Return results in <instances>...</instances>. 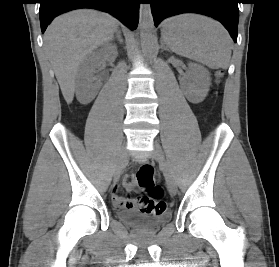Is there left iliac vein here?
I'll return each instance as SVG.
<instances>
[{
	"instance_id": "4c4485c4",
	"label": "left iliac vein",
	"mask_w": 279,
	"mask_h": 267,
	"mask_svg": "<svg viewBox=\"0 0 279 267\" xmlns=\"http://www.w3.org/2000/svg\"><path fill=\"white\" fill-rule=\"evenodd\" d=\"M152 156L159 163V165L161 166V168L163 170L169 192L173 195L176 194L177 185H176L173 173L165 159L162 147L157 142H154V150L152 152Z\"/></svg>"
}]
</instances>
